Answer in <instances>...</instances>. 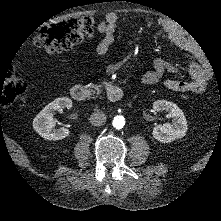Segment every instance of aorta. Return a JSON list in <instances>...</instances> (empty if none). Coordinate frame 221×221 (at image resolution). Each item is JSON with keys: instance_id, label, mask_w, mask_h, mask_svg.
Here are the masks:
<instances>
[{"instance_id": "aorta-1", "label": "aorta", "mask_w": 221, "mask_h": 221, "mask_svg": "<svg viewBox=\"0 0 221 221\" xmlns=\"http://www.w3.org/2000/svg\"><path fill=\"white\" fill-rule=\"evenodd\" d=\"M113 127L115 129H122L125 125V118L124 116L121 115H117L114 117L113 121H112Z\"/></svg>"}]
</instances>
